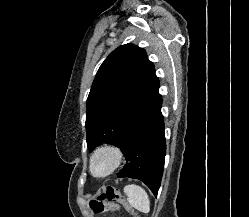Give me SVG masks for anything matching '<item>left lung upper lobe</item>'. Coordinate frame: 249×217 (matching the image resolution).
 Wrapping results in <instances>:
<instances>
[{
	"instance_id": "obj_1",
	"label": "left lung upper lobe",
	"mask_w": 249,
	"mask_h": 217,
	"mask_svg": "<svg viewBox=\"0 0 249 217\" xmlns=\"http://www.w3.org/2000/svg\"><path fill=\"white\" fill-rule=\"evenodd\" d=\"M158 82L154 65L143 48L125 44L100 66L87 98V146H118L120 128L129 112Z\"/></svg>"
}]
</instances>
